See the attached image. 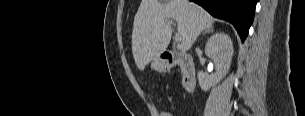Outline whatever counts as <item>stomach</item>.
<instances>
[{
	"instance_id": "1",
	"label": "stomach",
	"mask_w": 305,
	"mask_h": 116,
	"mask_svg": "<svg viewBox=\"0 0 305 116\" xmlns=\"http://www.w3.org/2000/svg\"><path fill=\"white\" fill-rule=\"evenodd\" d=\"M151 68L156 71L163 72L166 70V64L158 57L152 61Z\"/></svg>"
}]
</instances>
